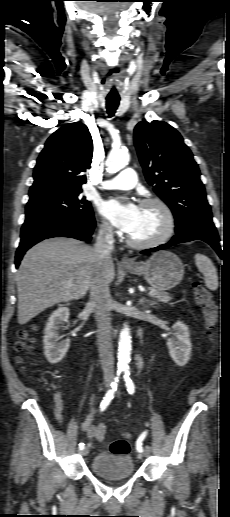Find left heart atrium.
Returning <instances> with one entry per match:
<instances>
[{"label":"left heart atrium","instance_id":"left-heart-atrium-1","mask_svg":"<svg viewBox=\"0 0 230 517\" xmlns=\"http://www.w3.org/2000/svg\"><path fill=\"white\" fill-rule=\"evenodd\" d=\"M140 207L134 203H123L116 199H110L100 204V212L106 216L112 224L126 233L135 228L139 219Z\"/></svg>","mask_w":230,"mask_h":517}]
</instances>
